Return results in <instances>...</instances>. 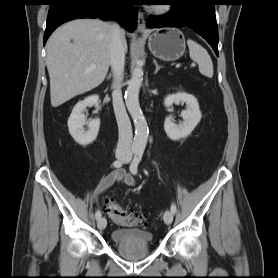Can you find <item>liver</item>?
<instances>
[{
	"label": "liver",
	"instance_id": "obj_1",
	"mask_svg": "<svg viewBox=\"0 0 278 278\" xmlns=\"http://www.w3.org/2000/svg\"><path fill=\"white\" fill-rule=\"evenodd\" d=\"M113 27L99 19H76L54 31L47 42L46 59L53 107L104 81L110 65ZM121 35L126 52L124 32ZM91 65L96 69L89 70Z\"/></svg>",
	"mask_w": 278,
	"mask_h": 278
}]
</instances>
